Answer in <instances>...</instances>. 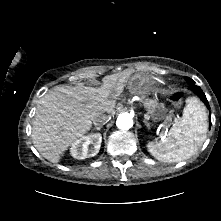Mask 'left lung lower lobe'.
Instances as JSON below:
<instances>
[{"label":"left lung lower lobe","mask_w":221,"mask_h":221,"mask_svg":"<svg viewBox=\"0 0 221 221\" xmlns=\"http://www.w3.org/2000/svg\"><path fill=\"white\" fill-rule=\"evenodd\" d=\"M190 89L193 90L200 97V99L207 106V108L210 109L209 103L206 99L205 94L202 92L201 88L199 86L195 85V83H192V84H190ZM210 127H211V122H210V125H209V129H210Z\"/></svg>","instance_id":"left-lung-lower-lobe-1"}]
</instances>
